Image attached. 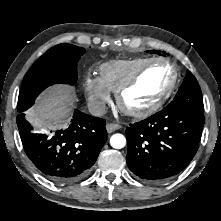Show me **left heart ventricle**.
I'll use <instances>...</instances> for the list:
<instances>
[{"label": "left heart ventricle", "instance_id": "obj_1", "mask_svg": "<svg viewBox=\"0 0 221 221\" xmlns=\"http://www.w3.org/2000/svg\"><path fill=\"white\" fill-rule=\"evenodd\" d=\"M172 68L163 63L151 65L139 81L124 95V103L131 109H143L152 104L169 86Z\"/></svg>", "mask_w": 221, "mask_h": 221}]
</instances>
